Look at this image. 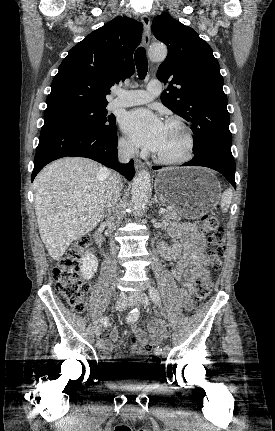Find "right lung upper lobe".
Masks as SVG:
<instances>
[{
    "instance_id": "cb5924a9",
    "label": "right lung upper lobe",
    "mask_w": 275,
    "mask_h": 431,
    "mask_svg": "<svg viewBox=\"0 0 275 431\" xmlns=\"http://www.w3.org/2000/svg\"><path fill=\"white\" fill-rule=\"evenodd\" d=\"M141 29L134 19L116 17L75 45L53 78L45 112L108 104L109 88L135 71Z\"/></svg>"
}]
</instances>
